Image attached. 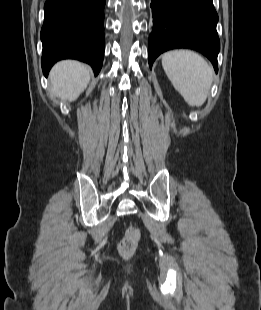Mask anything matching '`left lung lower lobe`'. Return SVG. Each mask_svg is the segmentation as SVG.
<instances>
[{
	"instance_id": "0a47b994",
	"label": "left lung lower lobe",
	"mask_w": 261,
	"mask_h": 310,
	"mask_svg": "<svg viewBox=\"0 0 261 310\" xmlns=\"http://www.w3.org/2000/svg\"><path fill=\"white\" fill-rule=\"evenodd\" d=\"M150 7L153 16L148 42L150 68L161 53L190 48L208 57L218 71V15L212 0H150Z\"/></svg>"
}]
</instances>
